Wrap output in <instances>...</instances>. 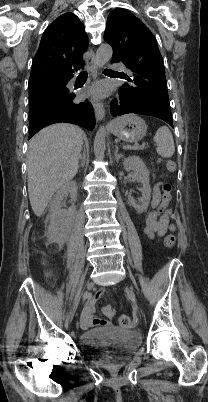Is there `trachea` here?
<instances>
[{"label": "trachea", "mask_w": 208, "mask_h": 402, "mask_svg": "<svg viewBox=\"0 0 208 402\" xmlns=\"http://www.w3.org/2000/svg\"><path fill=\"white\" fill-rule=\"evenodd\" d=\"M104 72H113V70H109L108 68H106L104 70ZM87 77V72H80L78 75V78H86Z\"/></svg>", "instance_id": "obj_1"}]
</instances>
